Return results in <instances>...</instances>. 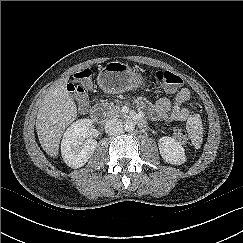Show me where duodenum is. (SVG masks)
<instances>
[{"label":"duodenum","instance_id":"obj_1","mask_svg":"<svg viewBox=\"0 0 243 243\" xmlns=\"http://www.w3.org/2000/svg\"><path fill=\"white\" fill-rule=\"evenodd\" d=\"M89 118L92 121L97 122V121H100L102 119V116L96 109H93L89 113ZM127 119L129 121L137 123L140 127H144L145 126V120L143 119L142 116H140L138 114L132 115V116L128 117Z\"/></svg>","mask_w":243,"mask_h":243}]
</instances>
